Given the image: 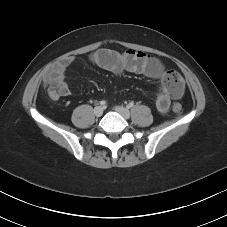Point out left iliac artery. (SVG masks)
I'll list each match as a JSON object with an SVG mask.
<instances>
[{"mask_svg":"<svg viewBox=\"0 0 227 227\" xmlns=\"http://www.w3.org/2000/svg\"><path fill=\"white\" fill-rule=\"evenodd\" d=\"M134 106V103L133 102H130L129 104H128V107H133Z\"/></svg>","mask_w":227,"mask_h":227,"instance_id":"1","label":"left iliac artery"}]
</instances>
